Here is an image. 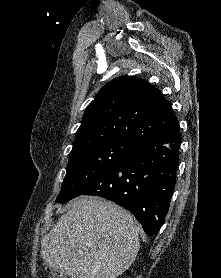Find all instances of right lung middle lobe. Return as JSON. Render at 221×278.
Here are the masks:
<instances>
[{
  "instance_id": "right-lung-middle-lobe-1",
  "label": "right lung middle lobe",
  "mask_w": 221,
  "mask_h": 278,
  "mask_svg": "<svg viewBox=\"0 0 221 278\" xmlns=\"http://www.w3.org/2000/svg\"><path fill=\"white\" fill-rule=\"evenodd\" d=\"M131 145L124 140H92L73 148L56 202L65 203L76 197L81 188L121 160Z\"/></svg>"
}]
</instances>
